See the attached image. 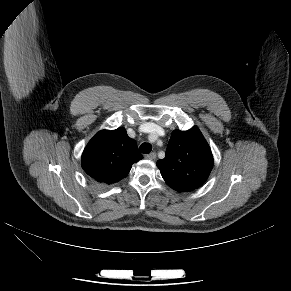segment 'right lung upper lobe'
Masks as SVG:
<instances>
[{"label": "right lung upper lobe", "instance_id": "obj_1", "mask_svg": "<svg viewBox=\"0 0 291 291\" xmlns=\"http://www.w3.org/2000/svg\"><path fill=\"white\" fill-rule=\"evenodd\" d=\"M141 159L135 140L120 127L99 131L85 147L81 164L92 179L109 185L125 178L132 164Z\"/></svg>", "mask_w": 291, "mask_h": 291}]
</instances>
